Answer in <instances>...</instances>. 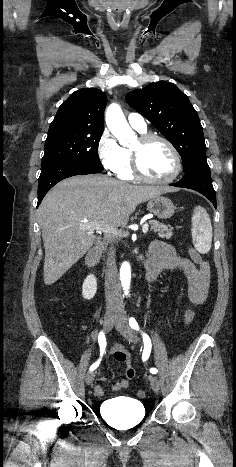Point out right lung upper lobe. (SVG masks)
Listing matches in <instances>:
<instances>
[{
	"label": "right lung upper lobe",
	"instance_id": "obj_1",
	"mask_svg": "<svg viewBox=\"0 0 236 467\" xmlns=\"http://www.w3.org/2000/svg\"><path fill=\"white\" fill-rule=\"evenodd\" d=\"M106 95L99 89H80L61 104L52 121V127L77 129H104Z\"/></svg>",
	"mask_w": 236,
	"mask_h": 467
}]
</instances>
